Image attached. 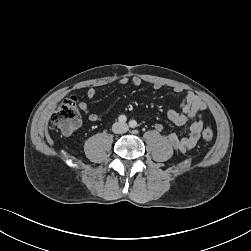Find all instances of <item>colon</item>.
<instances>
[{
	"label": "colon",
	"mask_w": 251,
	"mask_h": 251,
	"mask_svg": "<svg viewBox=\"0 0 251 251\" xmlns=\"http://www.w3.org/2000/svg\"><path fill=\"white\" fill-rule=\"evenodd\" d=\"M77 98L72 96L65 99L54 111L51 124L63 132L73 133L80 125V114L77 106ZM214 133L210 128H204L202 138L206 142L213 140Z\"/></svg>",
	"instance_id": "obj_1"
}]
</instances>
